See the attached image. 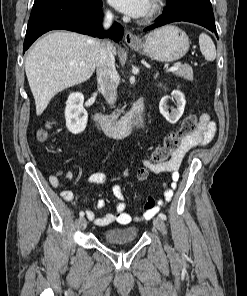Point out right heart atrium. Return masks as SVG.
I'll return each mask as SVG.
<instances>
[{"mask_svg":"<svg viewBox=\"0 0 247 296\" xmlns=\"http://www.w3.org/2000/svg\"><path fill=\"white\" fill-rule=\"evenodd\" d=\"M106 14L110 17L113 16L112 12L109 9L106 10Z\"/></svg>","mask_w":247,"mask_h":296,"instance_id":"d8ad5b80","label":"right heart atrium"}]
</instances>
